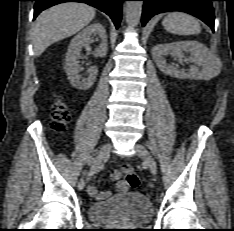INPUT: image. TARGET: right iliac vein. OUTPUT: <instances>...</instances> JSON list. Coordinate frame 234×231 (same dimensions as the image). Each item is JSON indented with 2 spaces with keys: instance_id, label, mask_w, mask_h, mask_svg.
I'll use <instances>...</instances> for the list:
<instances>
[{
  "instance_id": "right-iliac-vein-1",
  "label": "right iliac vein",
  "mask_w": 234,
  "mask_h": 231,
  "mask_svg": "<svg viewBox=\"0 0 234 231\" xmlns=\"http://www.w3.org/2000/svg\"><path fill=\"white\" fill-rule=\"evenodd\" d=\"M110 150H111V144L110 143H106L104 144L99 152L97 153L96 158L93 161L94 165H99L102 161H104L105 159H107L109 157L110 154ZM87 164L89 165V161L87 160ZM85 186V180L84 179H80V181L78 182V189L82 190Z\"/></svg>"
}]
</instances>
